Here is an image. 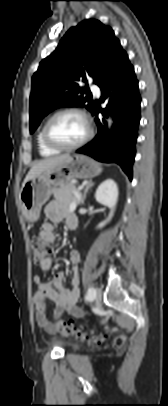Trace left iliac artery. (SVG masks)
I'll return each mask as SVG.
<instances>
[{
    "instance_id": "44dca946",
    "label": "left iliac artery",
    "mask_w": 168,
    "mask_h": 406,
    "mask_svg": "<svg viewBox=\"0 0 168 406\" xmlns=\"http://www.w3.org/2000/svg\"><path fill=\"white\" fill-rule=\"evenodd\" d=\"M94 296H95V289L93 287H90L88 289V291H87L85 299L86 300H93Z\"/></svg>"
}]
</instances>
